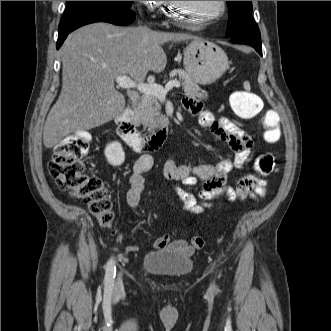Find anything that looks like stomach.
I'll use <instances>...</instances> for the list:
<instances>
[{"mask_svg": "<svg viewBox=\"0 0 331 331\" xmlns=\"http://www.w3.org/2000/svg\"><path fill=\"white\" fill-rule=\"evenodd\" d=\"M183 64L193 81L207 85L224 74L228 68V57L217 44L197 38L184 49Z\"/></svg>", "mask_w": 331, "mask_h": 331, "instance_id": "0dacf381", "label": "stomach"}]
</instances>
